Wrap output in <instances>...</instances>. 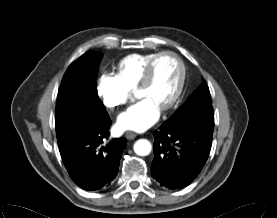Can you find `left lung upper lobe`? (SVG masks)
<instances>
[{
	"mask_svg": "<svg viewBox=\"0 0 277 218\" xmlns=\"http://www.w3.org/2000/svg\"><path fill=\"white\" fill-rule=\"evenodd\" d=\"M212 99L209 88L204 80L200 89L177 110L168 120L170 123H185L193 119L213 118Z\"/></svg>",
	"mask_w": 277,
	"mask_h": 218,
	"instance_id": "obj_1",
	"label": "left lung upper lobe"
}]
</instances>
